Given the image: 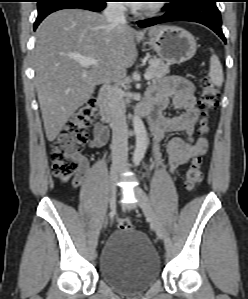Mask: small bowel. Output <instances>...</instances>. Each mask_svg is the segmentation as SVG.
I'll list each match as a JSON object with an SVG mask.
<instances>
[{
	"instance_id": "c3829d8e",
	"label": "small bowel",
	"mask_w": 248,
	"mask_h": 299,
	"mask_svg": "<svg viewBox=\"0 0 248 299\" xmlns=\"http://www.w3.org/2000/svg\"><path fill=\"white\" fill-rule=\"evenodd\" d=\"M194 85L181 76H170L151 86L148 98L151 102V130L155 139L153 148L155 164L162 166L160 143L166 134L184 132L185 137H174L167 144L169 168L174 172L193 158L204 155L208 150L206 134L208 128L198 125L201 112L196 106ZM172 107L177 113L166 114ZM197 129L199 136L194 140ZM109 131L100 124L93 128L92 148H101L108 142ZM85 169L86 163L83 161Z\"/></svg>"
}]
</instances>
